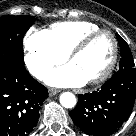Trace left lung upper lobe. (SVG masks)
Masks as SVG:
<instances>
[{"label":"left lung upper lobe","instance_id":"obj_1","mask_svg":"<svg viewBox=\"0 0 136 136\" xmlns=\"http://www.w3.org/2000/svg\"><path fill=\"white\" fill-rule=\"evenodd\" d=\"M117 40L120 46V63H119V70L128 69V68H135V64L133 61V56L130 51L128 44L121 38L119 34H116Z\"/></svg>","mask_w":136,"mask_h":136}]
</instances>
